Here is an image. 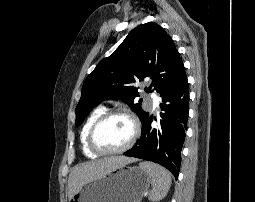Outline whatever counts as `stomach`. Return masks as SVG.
Wrapping results in <instances>:
<instances>
[{
  "instance_id": "stomach-1",
  "label": "stomach",
  "mask_w": 255,
  "mask_h": 202,
  "mask_svg": "<svg viewBox=\"0 0 255 202\" xmlns=\"http://www.w3.org/2000/svg\"><path fill=\"white\" fill-rule=\"evenodd\" d=\"M150 185L139 167L121 166L84 184L69 202H140Z\"/></svg>"
}]
</instances>
